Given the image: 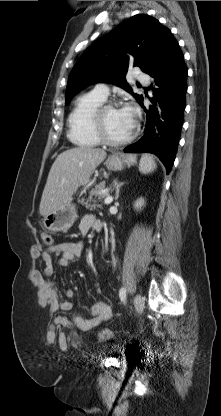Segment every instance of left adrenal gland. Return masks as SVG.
<instances>
[{"instance_id":"a2214340","label":"left adrenal gland","mask_w":221,"mask_h":416,"mask_svg":"<svg viewBox=\"0 0 221 416\" xmlns=\"http://www.w3.org/2000/svg\"><path fill=\"white\" fill-rule=\"evenodd\" d=\"M113 185H114V187H115V190H116V194H115V200H118V198H119V192H120V188H121V186H123L124 185V182H118V180L117 179H115L114 181H113Z\"/></svg>"}]
</instances>
